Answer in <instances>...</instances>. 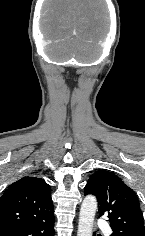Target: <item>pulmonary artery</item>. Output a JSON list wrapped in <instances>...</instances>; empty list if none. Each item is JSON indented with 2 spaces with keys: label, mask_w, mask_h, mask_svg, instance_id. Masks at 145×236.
Segmentation results:
<instances>
[{
  "label": "pulmonary artery",
  "mask_w": 145,
  "mask_h": 236,
  "mask_svg": "<svg viewBox=\"0 0 145 236\" xmlns=\"http://www.w3.org/2000/svg\"><path fill=\"white\" fill-rule=\"evenodd\" d=\"M100 225L102 226L103 232L106 235H110L112 233V230L109 226H106L103 220H100Z\"/></svg>",
  "instance_id": "e3ab8cb5"
}]
</instances>
